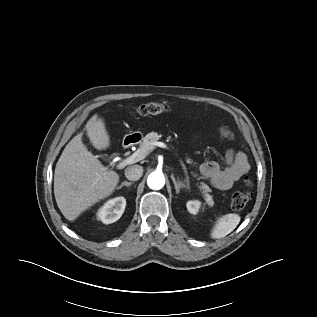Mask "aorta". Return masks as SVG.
<instances>
[{
    "instance_id": "aorta-1",
    "label": "aorta",
    "mask_w": 317,
    "mask_h": 317,
    "mask_svg": "<svg viewBox=\"0 0 317 317\" xmlns=\"http://www.w3.org/2000/svg\"><path fill=\"white\" fill-rule=\"evenodd\" d=\"M147 185L153 190H160L165 185V177L162 172L154 171L147 178Z\"/></svg>"
}]
</instances>
